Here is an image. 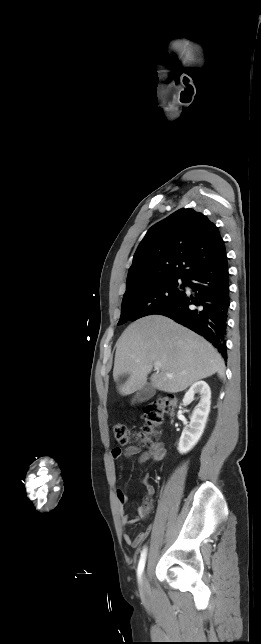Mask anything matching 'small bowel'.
I'll use <instances>...</instances> for the list:
<instances>
[{"instance_id": "1", "label": "small bowel", "mask_w": 261, "mask_h": 644, "mask_svg": "<svg viewBox=\"0 0 261 644\" xmlns=\"http://www.w3.org/2000/svg\"><path fill=\"white\" fill-rule=\"evenodd\" d=\"M165 454H166V450L162 443H154L145 451H143L139 446L131 445L126 447L125 449H122L121 447H115L112 449V452H111L112 458L115 460L120 459L122 456L132 457L135 455H139V462L141 464L146 463L148 461L160 462L164 459ZM145 487H146L147 495L152 496L155 492L154 487L149 483H146ZM117 498H118L119 507H120L121 524L123 528H127L128 526H131L137 523L138 521L142 520L146 516L147 509L143 505L138 506L133 512V514H127L124 511V505L127 502V496L125 495L122 489L117 490ZM151 530H152V525H148L143 531L139 532L135 537H131L127 532H125L124 540L127 544L133 547H138L150 534Z\"/></svg>"}]
</instances>
